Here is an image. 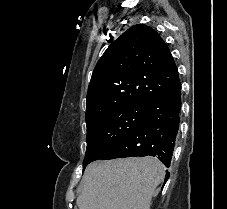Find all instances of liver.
<instances>
[{"instance_id": "liver-1", "label": "liver", "mask_w": 227, "mask_h": 209, "mask_svg": "<svg viewBox=\"0 0 227 209\" xmlns=\"http://www.w3.org/2000/svg\"><path fill=\"white\" fill-rule=\"evenodd\" d=\"M164 167L155 157L94 161L83 175L79 209H150Z\"/></svg>"}]
</instances>
